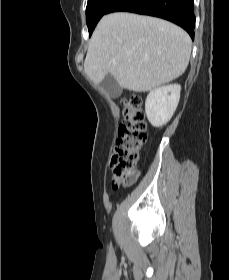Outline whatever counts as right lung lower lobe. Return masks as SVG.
Segmentation results:
<instances>
[{"label":"right lung lower lobe","instance_id":"obj_1","mask_svg":"<svg viewBox=\"0 0 229 280\" xmlns=\"http://www.w3.org/2000/svg\"><path fill=\"white\" fill-rule=\"evenodd\" d=\"M116 11H127L166 19L185 29L194 39V0H115L108 8L107 13Z\"/></svg>","mask_w":229,"mask_h":280}]
</instances>
